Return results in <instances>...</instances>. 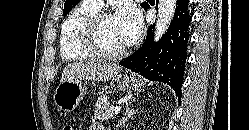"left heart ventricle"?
<instances>
[{"mask_svg":"<svg viewBox=\"0 0 249 130\" xmlns=\"http://www.w3.org/2000/svg\"><path fill=\"white\" fill-rule=\"evenodd\" d=\"M99 40L101 45L111 52L119 51L127 46L114 16H110L102 22Z\"/></svg>","mask_w":249,"mask_h":130,"instance_id":"left-heart-ventricle-1","label":"left heart ventricle"}]
</instances>
